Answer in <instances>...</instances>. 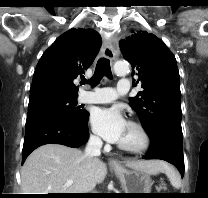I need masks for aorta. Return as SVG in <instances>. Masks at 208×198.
Instances as JSON below:
<instances>
[{
  "instance_id": "762f6f07",
  "label": "aorta",
  "mask_w": 208,
  "mask_h": 198,
  "mask_svg": "<svg viewBox=\"0 0 208 198\" xmlns=\"http://www.w3.org/2000/svg\"><path fill=\"white\" fill-rule=\"evenodd\" d=\"M114 72L117 76H124L129 72V64L124 61H117L114 64Z\"/></svg>"
}]
</instances>
